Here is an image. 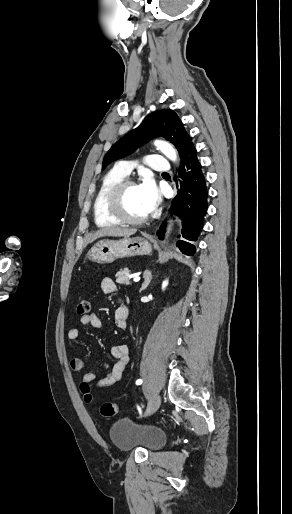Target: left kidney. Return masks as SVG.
<instances>
[{
    "instance_id": "1",
    "label": "left kidney",
    "mask_w": 292,
    "mask_h": 514,
    "mask_svg": "<svg viewBox=\"0 0 292 514\" xmlns=\"http://www.w3.org/2000/svg\"><path fill=\"white\" fill-rule=\"evenodd\" d=\"M166 286H168V282H167V280H165V282H163V284H162V288H163V290H164V288H166Z\"/></svg>"
}]
</instances>
